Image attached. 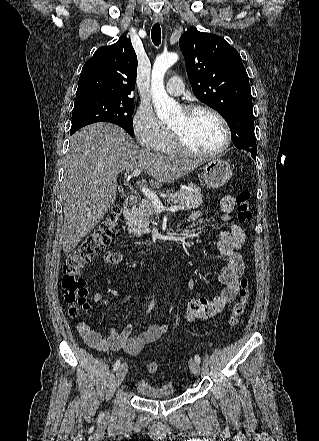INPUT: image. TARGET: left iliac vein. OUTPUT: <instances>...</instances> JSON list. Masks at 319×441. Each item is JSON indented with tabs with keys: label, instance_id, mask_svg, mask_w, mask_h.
Returning <instances> with one entry per match:
<instances>
[{
	"label": "left iliac vein",
	"instance_id": "left-iliac-vein-1",
	"mask_svg": "<svg viewBox=\"0 0 319 441\" xmlns=\"http://www.w3.org/2000/svg\"><path fill=\"white\" fill-rule=\"evenodd\" d=\"M189 368L195 375L200 374V365L196 360L193 359L189 360Z\"/></svg>",
	"mask_w": 319,
	"mask_h": 441
}]
</instances>
